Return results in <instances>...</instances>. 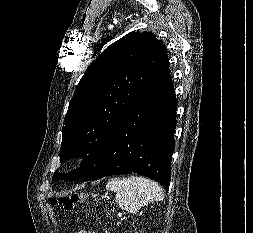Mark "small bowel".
Instances as JSON below:
<instances>
[{
  "label": "small bowel",
  "mask_w": 253,
  "mask_h": 233,
  "mask_svg": "<svg viewBox=\"0 0 253 233\" xmlns=\"http://www.w3.org/2000/svg\"><path fill=\"white\" fill-rule=\"evenodd\" d=\"M78 233H96V232H90V231H79Z\"/></svg>",
  "instance_id": "c3829d8e"
}]
</instances>
